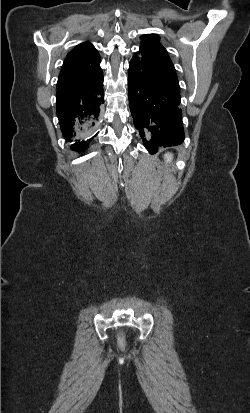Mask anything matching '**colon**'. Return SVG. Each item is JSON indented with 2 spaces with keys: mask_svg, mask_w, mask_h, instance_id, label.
Returning a JSON list of instances; mask_svg holds the SVG:
<instances>
[{
  "mask_svg": "<svg viewBox=\"0 0 250 413\" xmlns=\"http://www.w3.org/2000/svg\"><path fill=\"white\" fill-rule=\"evenodd\" d=\"M117 341L121 349L125 347V342H124V335L122 330H118L116 333Z\"/></svg>",
  "mask_w": 250,
  "mask_h": 413,
  "instance_id": "1",
  "label": "colon"
}]
</instances>
